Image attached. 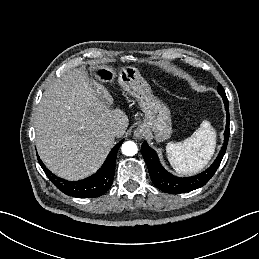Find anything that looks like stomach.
Instances as JSON below:
<instances>
[{
    "label": "stomach",
    "mask_w": 259,
    "mask_h": 259,
    "mask_svg": "<svg viewBox=\"0 0 259 259\" xmlns=\"http://www.w3.org/2000/svg\"><path fill=\"white\" fill-rule=\"evenodd\" d=\"M89 75L100 83L112 82L117 76L113 67L104 64L90 66ZM118 75L121 87L138 99L144 113L138 131L145 130L148 134H153L157 141L170 138L172 134L170 110L152 94L149 84L138 69L131 66L121 67Z\"/></svg>",
    "instance_id": "1"
}]
</instances>
